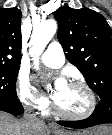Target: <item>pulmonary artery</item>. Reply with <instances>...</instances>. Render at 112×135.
I'll use <instances>...</instances> for the list:
<instances>
[{
  "mask_svg": "<svg viewBox=\"0 0 112 135\" xmlns=\"http://www.w3.org/2000/svg\"><path fill=\"white\" fill-rule=\"evenodd\" d=\"M44 65L51 68H60L65 61L64 51L60 43L51 42L41 56Z\"/></svg>",
  "mask_w": 112,
  "mask_h": 135,
  "instance_id": "obj_1",
  "label": "pulmonary artery"
}]
</instances>
